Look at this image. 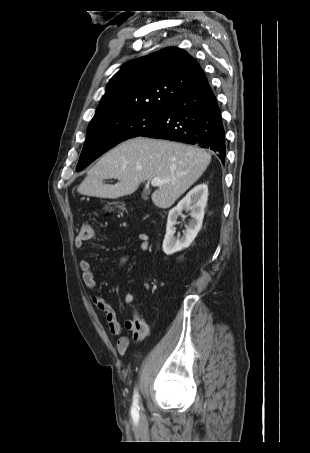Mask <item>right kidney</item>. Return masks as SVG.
<instances>
[{"mask_svg": "<svg viewBox=\"0 0 310 453\" xmlns=\"http://www.w3.org/2000/svg\"><path fill=\"white\" fill-rule=\"evenodd\" d=\"M208 186L205 183L198 184L169 211L166 226V235L163 241V251L167 255L181 251L190 246L202 227L204 209L207 205ZM183 210H191L192 219L187 226L186 232L180 238L175 237L176 228L174 227L179 215Z\"/></svg>", "mask_w": 310, "mask_h": 453, "instance_id": "ca27d5eb", "label": "right kidney"}]
</instances>
